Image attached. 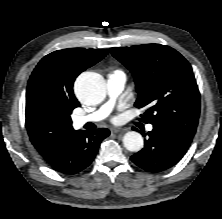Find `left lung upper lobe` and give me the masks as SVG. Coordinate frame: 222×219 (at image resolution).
Returning <instances> with one entry per match:
<instances>
[{
	"label": "left lung upper lobe",
	"instance_id": "obj_1",
	"mask_svg": "<svg viewBox=\"0 0 222 219\" xmlns=\"http://www.w3.org/2000/svg\"><path fill=\"white\" fill-rule=\"evenodd\" d=\"M133 74L137 108H146L142 121L167 124L195 134L200 93L189 62L176 50L160 44L110 49Z\"/></svg>",
	"mask_w": 222,
	"mask_h": 219
}]
</instances>
